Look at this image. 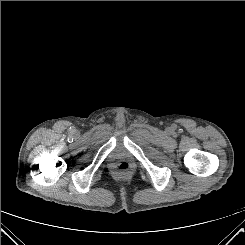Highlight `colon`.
I'll return each mask as SVG.
<instances>
[{
  "label": "colon",
  "mask_w": 245,
  "mask_h": 245,
  "mask_svg": "<svg viewBox=\"0 0 245 245\" xmlns=\"http://www.w3.org/2000/svg\"><path fill=\"white\" fill-rule=\"evenodd\" d=\"M131 169V166L127 162H122L116 166V172L120 175L127 174Z\"/></svg>",
  "instance_id": "5ec220e1"
}]
</instances>
